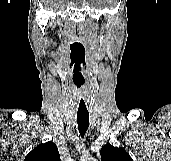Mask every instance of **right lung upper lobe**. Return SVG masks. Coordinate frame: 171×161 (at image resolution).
Listing matches in <instances>:
<instances>
[{
	"instance_id": "cb5924a9",
	"label": "right lung upper lobe",
	"mask_w": 171,
	"mask_h": 161,
	"mask_svg": "<svg viewBox=\"0 0 171 161\" xmlns=\"http://www.w3.org/2000/svg\"><path fill=\"white\" fill-rule=\"evenodd\" d=\"M24 161H61L57 146L53 142L38 145Z\"/></svg>"
}]
</instances>
